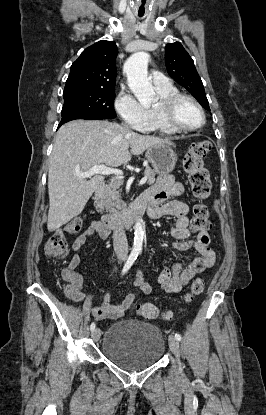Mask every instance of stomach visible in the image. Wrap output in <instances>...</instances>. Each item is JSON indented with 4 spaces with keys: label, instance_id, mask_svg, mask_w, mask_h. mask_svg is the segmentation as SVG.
I'll return each mask as SVG.
<instances>
[{
    "label": "stomach",
    "instance_id": "1",
    "mask_svg": "<svg viewBox=\"0 0 266 415\" xmlns=\"http://www.w3.org/2000/svg\"><path fill=\"white\" fill-rule=\"evenodd\" d=\"M145 155L158 175L169 174L176 165L177 155L171 146L166 143L150 146Z\"/></svg>",
    "mask_w": 266,
    "mask_h": 415
}]
</instances>
